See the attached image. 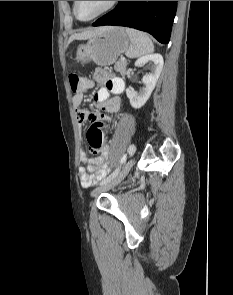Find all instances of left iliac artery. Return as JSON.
I'll return each instance as SVG.
<instances>
[{
    "label": "left iliac artery",
    "instance_id": "1",
    "mask_svg": "<svg viewBox=\"0 0 233 295\" xmlns=\"http://www.w3.org/2000/svg\"><path fill=\"white\" fill-rule=\"evenodd\" d=\"M135 145H130V148L128 149V153L132 154L135 152ZM119 173V168H117L113 173H111L107 178L103 179L100 182V185L106 184L107 182H109L110 180H112L113 178H115L117 176V174Z\"/></svg>",
    "mask_w": 233,
    "mask_h": 295
}]
</instances>
